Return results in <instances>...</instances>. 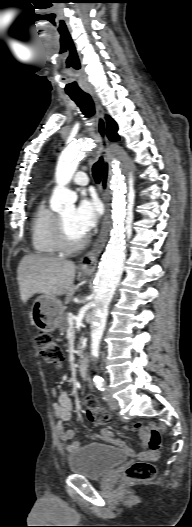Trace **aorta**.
I'll list each match as a JSON object with an SVG mask.
<instances>
[{
	"mask_svg": "<svg viewBox=\"0 0 192 527\" xmlns=\"http://www.w3.org/2000/svg\"><path fill=\"white\" fill-rule=\"evenodd\" d=\"M93 147L89 139L81 140L68 145L60 154L55 179L57 186L51 199L54 211H61L65 207H73L75 195L66 188L77 170L79 161L84 152ZM131 168L120 161L113 162V175L111 179L112 190V219L113 228L111 238L101 258L96 276V295L94 298L93 321L91 324V354L97 356L100 341L106 325L108 305L115 293L116 285L121 277L125 260V238L130 227L125 224L126 205L129 198L130 186L128 175ZM100 378L94 377L98 382Z\"/></svg>",
	"mask_w": 192,
	"mask_h": 527,
	"instance_id": "762f6f07",
	"label": "aorta"
}]
</instances>
